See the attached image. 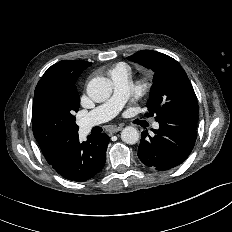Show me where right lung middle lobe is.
Wrapping results in <instances>:
<instances>
[{"label":"right lung middle lobe","instance_id":"right-lung-middle-lobe-1","mask_svg":"<svg viewBox=\"0 0 232 232\" xmlns=\"http://www.w3.org/2000/svg\"><path fill=\"white\" fill-rule=\"evenodd\" d=\"M79 74L63 84L38 82L32 108V128L39 146L51 147L78 134L74 113L80 105L75 83Z\"/></svg>","mask_w":232,"mask_h":232}]
</instances>
